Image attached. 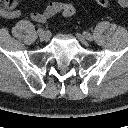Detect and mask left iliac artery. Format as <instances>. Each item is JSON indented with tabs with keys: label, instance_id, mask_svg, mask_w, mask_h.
<instances>
[{
	"label": "left iliac artery",
	"instance_id": "obj_1",
	"mask_svg": "<svg viewBox=\"0 0 128 128\" xmlns=\"http://www.w3.org/2000/svg\"><path fill=\"white\" fill-rule=\"evenodd\" d=\"M84 35H85V37H86L89 41H92L93 37L91 36L90 33L84 32Z\"/></svg>",
	"mask_w": 128,
	"mask_h": 128
}]
</instances>
